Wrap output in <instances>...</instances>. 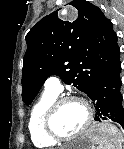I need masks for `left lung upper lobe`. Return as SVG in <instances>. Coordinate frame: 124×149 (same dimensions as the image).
Returning <instances> with one entry per match:
<instances>
[{"label":"left lung upper lobe","mask_w":124,"mask_h":149,"mask_svg":"<svg viewBox=\"0 0 124 149\" xmlns=\"http://www.w3.org/2000/svg\"><path fill=\"white\" fill-rule=\"evenodd\" d=\"M70 4L78 10L76 21H62L55 11L26 35L22 70V100L26 105L51 75L87 93L104 73L120 63L117 35L101 9L84 0Z\"/></svg>","instance_id":"obj_1"}]
</instances>
